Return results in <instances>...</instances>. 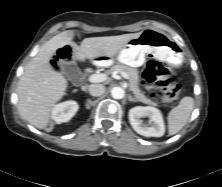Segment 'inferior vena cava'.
<instances>
[{
  "label": "inferior vena cava",
  "instance_id": "obj_1",
  "mask_svg": "<svg viewBox=\"0 0 222 187\" xmlns=\"http://www.w3.org/2000/svg\"><path fill=\"white\" fill-rule=\"evenodd\" d=\"M105 92V87L102 84H91L89 86V93L92 96H101Z\"/></svg>",
  "mask_w": 222,
  "mask_h": 187
}]
</instances>
